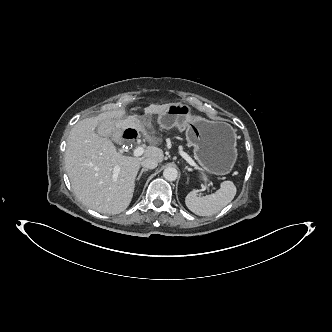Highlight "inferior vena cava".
<instances>
[{"label":"inferior vena cava","instance_id":"1","mask_svg":"<svg viewBox=\"0 0 332 332\" xmlns=\"http://www.w3.org/2000/svg\"><path fill=\"white\" fill-rule=\"evenodd\" d=\"M141 165L146 169H154L157 167L158 162L155 159L147 158L141 162Z\"/></svg>","mask_w":332,"mask_h":332}]
</instances>
